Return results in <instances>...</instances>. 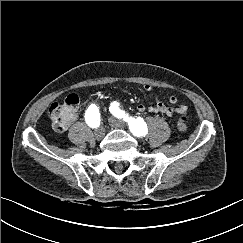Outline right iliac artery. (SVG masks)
Masks as SVG:
<instances>
[{"instance_id":"1","label":"right iliac artery","mask_w":243,"mask_h":243,"mask_svg":"<svg viewBox=\"0 0 243 243\" xmlns=\"http://www.w3.org/2000/svg\"><path fill=\"white\" fill-rule=\"evenodd\" d=\"M85 121L92 128H96L99 126L100 113H99V109L95 104H91L86 110Z\"/></svg>"}]
</instances>
